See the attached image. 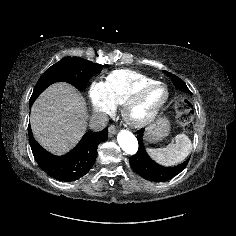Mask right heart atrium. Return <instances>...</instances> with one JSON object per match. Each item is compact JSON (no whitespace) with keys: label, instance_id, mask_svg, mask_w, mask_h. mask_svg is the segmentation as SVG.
I'll return each instance as SVG.
<instances>
[{"label":"right heart atrium","instance_id":"right-heart-atrium-1","mask_svg":"<svg viewBox=\"0 0 236 236\" xmlns=\"http://www.w3.org/2000/svg\"><path fill=\"white\" fill-rule=\"evenodd\" d=\"M106 85L104 81H95L91 84L89 90V99L92 113L96 116H103L110 113L112 106L106 98Z\"/></svg>","mask_w":236,"mask_h":236}]
</instances>
